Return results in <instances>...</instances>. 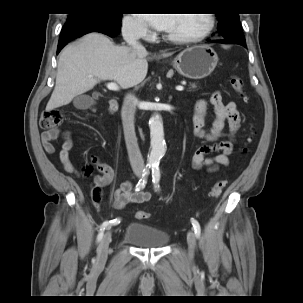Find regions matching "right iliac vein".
I'll return each instance as SVG.
<instances>
[{
    "label": "right iliac vein",
    "mask_w": 303,
    "mask_h": 303,
    "mask_svg": "<svg viewBox=\"0 0 303 303\" xmlns=\"http://www.w3.org/2000/svg\"><path fill=\"white\" fill-rule=\"evenodd\" d=\"M111 231H107L97 248V264L104 265L108 257Z\"/></svg>",
    "instance_id": "right-iliac-vein-1"
}]
</instances>
